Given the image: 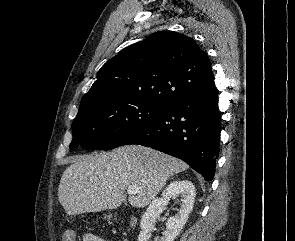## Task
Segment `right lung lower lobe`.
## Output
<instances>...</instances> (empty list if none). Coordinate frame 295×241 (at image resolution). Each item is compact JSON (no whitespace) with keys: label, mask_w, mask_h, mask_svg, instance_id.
Returning a JSON list of instances; mask_svg holds the SVG:
<instances>
[{"label":"right lung lower lobe","mask_w":295,"mask_h":241,"mask_svg":"<svg viewBox=\"0 0 295 241\" xmlns=\"http://www.w3.org/2000/svg\"><path fill=\"white\" fill-rule=\"evenodd\" d=\"M220 132L218 90L213 85L175 98L154 119L129 133L119 146L140 144L170 154L211 181L219 153Z\"/></svg>","instance_id":"right-lung-lower-lobe-1"}]
</instances>
